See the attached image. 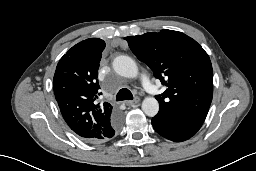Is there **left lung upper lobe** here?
<instances>
[{
    "instance_id": "left-lung-upper-lobe-1",
    "label": "left lung upper lobe",
    "mask_w": 256,
    "mask_h": 171,
    "mask_svg": "<svg viewBox=\"0 0 256 171\" xmlns=\"http://www.w3.org/2000/svg\"><path fill=\"white\" fill-rule=\"evenodd\" d=\"M132 52L145 62L167 87L157 95L159 112L173 113L198 131L213 96V71L209 56L182 32L161 30L125 37Z\"/></svg>"
}]
</instances>
